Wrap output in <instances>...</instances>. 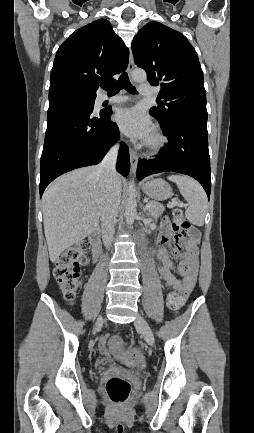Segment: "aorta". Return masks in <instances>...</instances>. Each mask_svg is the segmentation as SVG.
<instances>
[{
	"label": "aorta",
	"mask_w": 254,
	"mask_h": 433,
	"mask_svg": "<svg viewBox=\"0 0 254 433\" xmlns=\"http://www.w3.org/2000/svg\"><path fill=\"white\" fill-rule=\"evenodd\" d=\"M132 79L137 82H145L147 79L146 72L141 69L134 70L131 74ZM137 215L136 188L134 182L129 183L128 198L125 207V219L127 225H132Z\"/></svg>",
	"instance_id": "1"
}]
</instances>
